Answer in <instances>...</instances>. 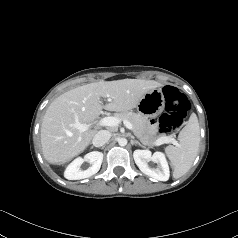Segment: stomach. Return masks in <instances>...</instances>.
Here are the masks:
<instances>
[{
    "instance_id": "stomach-1",
    "label": "stomach",
    "mask_w": 238,
    "mask_h": 238,
    "mask_svg": "<svg viewBox=\"0 0 238 238\" xmlns=\"http://www.w3.org/2000/svg\"><path fill=\"white\" fill-rule=\"evenodd\" d=\"M165 107V98L161 89H153L146 93L137 105L138 113L145 118L156 117Z\"/></svg>"
}]
</instances>
